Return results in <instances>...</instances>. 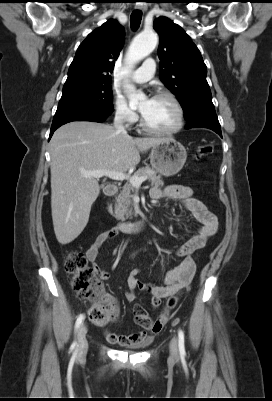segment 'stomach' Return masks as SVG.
<instances>
[{
  "instance_id": "obj_1",
  "label": "stomach",
  "mask_w": 272,
  "mask_h": 401,
  "mask_svg": "<svg viewBox=\"0 0 272 401\" xmlns=\"http://www.w3.org/2000/svg\"><path fill=\"white\" fill-rule=\"evenodd\" d=\"M187 158L185 147L172 137L162 138L150 153V163L160 175L169 177L177 174Z\"/></svg>"
}]
</instances>
